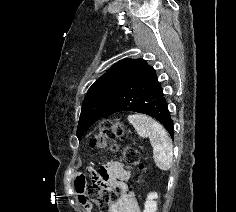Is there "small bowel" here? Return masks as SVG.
Listing matches in <instances>:
<instances>
[{
  "label": "small bowel",
  "instance_id": "small-bowel-1",
  "mask_svg": "<svg viewBox=\"0 0 236 212\" xmlns=\"http://www.w3.org/2000/svg\"><path fill=\"white\" fill-rule=\"evenodd\" d=\"M100 177L102 181H104V183L108 185L110 181H112L117 177H120L122 179H127L129 177V174L126 171H124L118 163H112L105 170H103L102 173H100ZM84 185H85L84 178L79 177L76 184V190L78 192L84 212H91V205L85 195ZM111 212H141V211L136 197L133 194L124 193L121 196V198L112 205Z\"/></svg>",
  "mask_w": 236,
  "mask_h": 212
}]
</instances>
